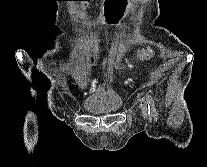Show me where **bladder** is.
I'll return each instance as SVG.
<instances>
[{"instance_id":"obj_1","label":"bladder","mask_w":207,"mask_h":167,"mask_svg":"<svg viewBox=\"0 0 207 167\" xmlns=\"http://www.w3.org/2000/svg\"><path fill=\"white\" fill-rule=\"evenodd\" d=\"M122 105L118 96H105L87 101L84 108L92 114H106L117 111Z\"/></svg>"}]
</instances>
